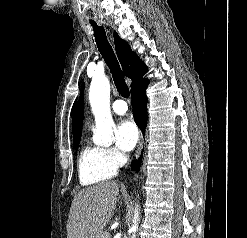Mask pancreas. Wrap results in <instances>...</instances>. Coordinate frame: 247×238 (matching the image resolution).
I'll list each match as a JSON object with an SVG mask.
<instances>
[{
  "label": "pancreas",
  "instance_id": "obj_1",
  "mask_svg": "<svg viewBox=\"0 0 247 238\" xmlns=\"http://www.w3.org/2000/svg\"><path fill=\"white\" fill-rule=\"evenodd\" d=\"M100 238H110V235L108 232H104V233H102Z\"/></svg>",
  "mask_w": 247,
  "mask_h": 238
}]
</instances>
